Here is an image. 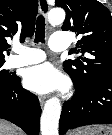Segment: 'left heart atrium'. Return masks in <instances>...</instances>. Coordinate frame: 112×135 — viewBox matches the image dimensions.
<instances>
[{"label": "left heart atrium", "mask_w": 112, "mask_h": 135, "mask_svg": "<svg viewBox=\"0 0 112 135\" xmlns=\"http://www.w3.org/2000/svg\"><path fill=\"white\" fill-rule=\"evenodd\" d=\"M23 83L27 89L39 94H46L57 89L63 90L67 86L66 80L49 63L27 68L23 73Z\"/></svg>", "instance_id": "39dd6f15"}]
</instances>
